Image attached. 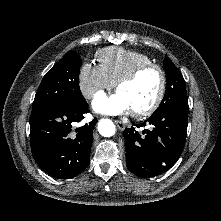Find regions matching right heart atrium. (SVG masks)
<instances>
[{"mask_svg":"<svg viewBox=\"0 0 221 221\" xmlns=\"http://www.w3.org/2000/svg\"><path fill=\"white\" fill-rule=\"evenodd\" d=\"M114 84L98 65L85 63L79 71L78 87L85 99L93 98L97 94L112 88Z\"/></svg>","mask_w":221,"mask_h":221,"instance_id":"right-heart-atrium-1","label":"right heart atrium"}]
</instances>
